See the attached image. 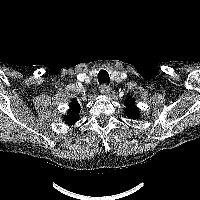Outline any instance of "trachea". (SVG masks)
<instances>
[{
  "label": "trachea",
  "instance_id": "1",
  "mask_svg": "<svg viewBox=\"0 0 200 200\" xmlns=\"http://www.w3.org/2000/svg\"><path fill=\"white\" fill-rule=\"evenodd\" d=\"M97 78L100 84L102 83L109 84V74L105 70H100Z\"/></svg>",
  "mask_w": 200,
  "mask_h": 200
}]
</instances>
